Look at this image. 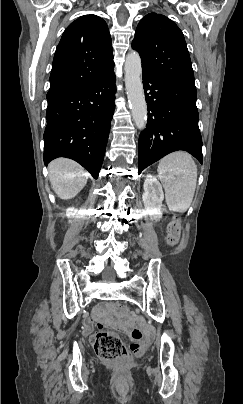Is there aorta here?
<instances>
[{
	"label": "aorta",
	"mask_w": 243,
	"mask_h": 404,
	"mask_svg": "<svg viewBox=\"0 0 243 404\" xmlns=\"http://www.w3.org/2000/svg\"><path fill=\"white\" fill-rule=\"evenodd\" d=\"M124 70L127 98L133 122L138 130H144L147 124V104L141 78V58L138 52L127 54Z\"/></svg>",
	"instance_id": "762f6f07"
}]
</instances>
